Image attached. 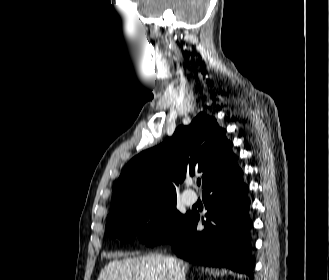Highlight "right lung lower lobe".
I'll return each instance as SVG.
<instances>
[{
  "label": "right lung lower lobe",
  "instance_id": "98d812e1",
  "mask_svg": "<svg viewBox=\"0 0 329 280\" xmlns=\"http://www.w3.org/2000/svg\"><path fill=\"white\" fill-rule=\"evenodd\" d=\"M247 192L243 171L237 164L209 183L203 190L208 210L206 221L202 220L204 229L196 230L200 217L191 212L187 223L169 241L176 255L204 266L227 267L252 278V222Z\"/></svg>",
  "mask_w": 329,
  "mask_h": 280
}]
</instances>
